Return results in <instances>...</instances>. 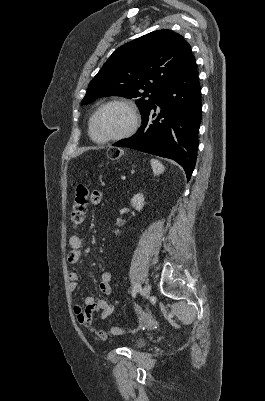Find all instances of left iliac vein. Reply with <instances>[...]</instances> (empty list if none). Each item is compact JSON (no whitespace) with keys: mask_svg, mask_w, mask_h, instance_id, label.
Listing matches in <instances>:
<instances>
[{"mask_svg":"<svg viewBox=\"0 0 265 401\" xmlns=\"http://www.w3.org/2000/svg\"><path fill=\"white\" fill-rule=\"evenodd\" d=\"M142 295L144 296V298H148L150 293H151V288L148 285H145L144 288L142 289Z\"/></svg>","mask_w":265,"mask_h":401,"instance_id":"left-iliac-vein-1","label":"left iliac vein"}]
</instances>
